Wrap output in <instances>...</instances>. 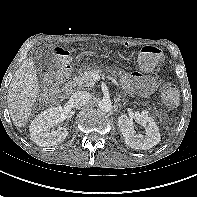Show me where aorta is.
<instances>
[{
	"label": "aorta",
	"mask_w": 197,
	"mask_h": 197,
	"mask_svg": "<svg viewBox=\"0 0 197 197\" xmlns=\"http://www.w3.org/2000/svg\"><path fill=\"white\" fill-rule=\"evenodd\" d=\"M99 109L103 112H109L112 109V102L110 99H102L99 104Z\"/></svg>",
	"instance_id": "1"
}]
</instances>
